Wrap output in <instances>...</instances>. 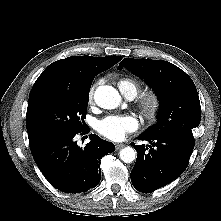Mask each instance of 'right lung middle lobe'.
<instances>
[{
  "mask_svg": "<svg viewBox=\"0 0 221 221\" xmlns=\"http://www.w3.org/2000/svg\"><path fill=\"white\" fill-rule=\"evenodd\" d=\"M90 87L67 89L43 85L32 88L26 114L30 144L83 131Z\"/></svg>",
  "mask_w": 221,
  "mask_h": 221,
  "instance_id": "1",
  "label": "right lung middle lobe"
}]
</instances>
